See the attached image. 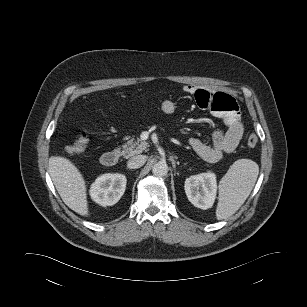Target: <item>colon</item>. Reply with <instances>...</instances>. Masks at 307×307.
Returning <instances> with one entry per match:
<instances>
[{
	"label": "colon",
	"mask_w": 307,
	"mask_h": 307,
	"mask_svg": "<svg viewBox=\"0 0 307 307\" xmlns=\"http://www.w3.org/2000/svg\"><path fill=\"white\" fill-rule=\"evenodd\" d=\"M88 143V135L85 132L79 133L75 140L66 147V151L70 155H77L84 151ZM258 144V137L251 133L246 139V145L248 148L253 149Z\"/></svg>",
	"instance_id": "1"
}]
</instances>
